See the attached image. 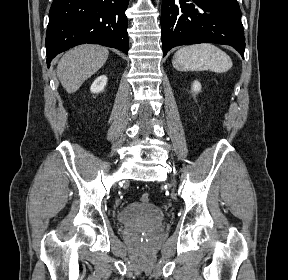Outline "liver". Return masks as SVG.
<instances>
[{"label": "liver", "mask_w": 288, "mask_h": 280, "mask_svg": "<svg viewBox=\"0 0 288 280\" xmlns=\"http://www.w3.org/2000/svg\"><path fill=\"white\" fill-rule=\"evenodd\" d=\"M108 55V49L99 45H81L66 52L57 66V76L64 89L68 93L76 92L105 64Z\"/></svg>", "instance_id": "6515ba94"}]
</instances>
